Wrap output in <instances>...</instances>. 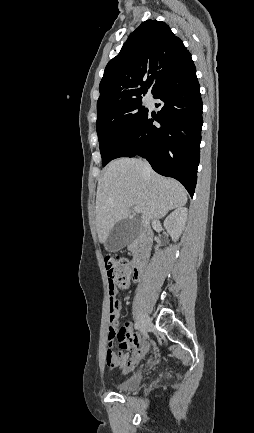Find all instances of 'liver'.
<instances>
[{"label":"liver","mask_w":254,"mask_h":433,"mask_svg":"<svg viewBox=\"0 0 254 433\" xmlns=\"http://www.w3.org/2000/svg\"><path fill=\"white\" fill-rule=\"evenodd\" d=\"M187 202L185 188L176 180L162 177L137 158L112 161L97 186L96 229L105 243L114 225L130 216L131 207L141 210V223L148 227L153 219Z\"/></svg>","instance_id":"1"}]
</instances>
